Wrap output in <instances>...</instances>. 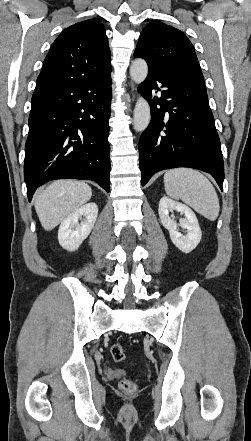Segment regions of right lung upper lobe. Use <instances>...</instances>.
I'll return each mask as SVG.
<instances>
[{"mask_svg": "<svg viewBox=\"0 0 251 441\" xmlns=\"http://www.w3.org/2000/svg\"><path fill=\"white\" fill-rule=\"evenodd\" d=\"M111 70L104 26L95 19L66 28L47 54L37 85L84 80Z\"/></svg>", "mask_w": 251, "mask_h": 441, "instance_id": "1", "label": "right lung upper lobe"}]
</instances>
